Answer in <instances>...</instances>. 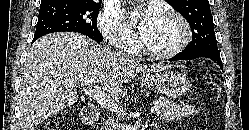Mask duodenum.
<instances>
[{
    "label": "duodenum",
    "instance_id": "1",
    "mask_svg": "<svg viewBox=\"0 0 249 130\" xmlns=\"http://www.w3.org/2000/svg\"><path fill=\"white\" fill-rule=\"evenodd\" d=\"M98 116V109L94 105H87L81 113L82 130H89V126L93 124Z\"/></svg>",
    "mask_w": 249,
    "mask_h": 130
}]
</instances>
